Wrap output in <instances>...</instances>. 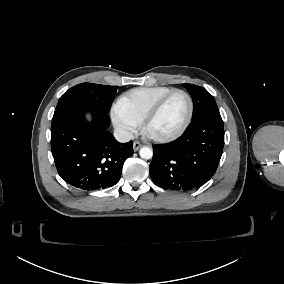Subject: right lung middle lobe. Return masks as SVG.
<instances>
[{
    "instance_id": "obj_1",
    "label": "right lung middle lobe",
    "mask_w": 284,
    "mask_h": 284,
    "mask_svg": "<svg viewBox=\"0 0 284 284\" xmlns=\"http://www.w3.org/2000/svg\"><path fill=\"white\" fill-rule=\"evenodd\" d=\"M116 90V86L78 84L60 97L53 117L72 107H89L108 113L116 96Z\"/></svg>"
}]
</instances>
